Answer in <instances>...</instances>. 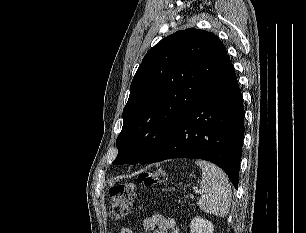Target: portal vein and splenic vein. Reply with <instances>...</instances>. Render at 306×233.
I'll use <instances>...</instances> for the list:
<instances>
[{
  "mask_svg": "<svg viewBox=\"0 0 306 233\" xmlns=\"http://www.w3.org/2000/svg\"><path fill=\"white\" fill-rule=\"evenodd\" d=\"M203 192H204L203 190H196V191H195L196 194H201V193H203ZM191 197H193V195H192Z\"/></svg>",
  "mask_w": 306,
  "mask_h": 233,
  "instance_id": "1",
  "label": "portal vein and splenic vein"
}]
</instances>
